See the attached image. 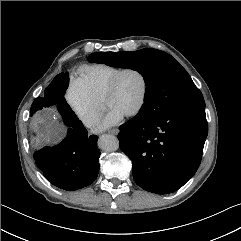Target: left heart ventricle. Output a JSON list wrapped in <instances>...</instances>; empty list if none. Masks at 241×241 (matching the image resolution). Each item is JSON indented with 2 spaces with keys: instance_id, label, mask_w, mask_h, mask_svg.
<instances>
[{
  "instance_id": "left-heart-ventricle-1",
  "label": "left heart ventricle",
  "mask_w": 241,
  "mask_h": 241,
  "mask_svg": "<svg viewBox=\"0 0 241 241\" xmlns=\"http://www.w3.org/2000/svg\"><path fill=\"white\" fill-rule=\"evenodd\" d=\"M142 90L141 77L136 72L125 73L104 105L106 108H115L126 115L138 104Z\"/></svg>"
}]
</instances>
